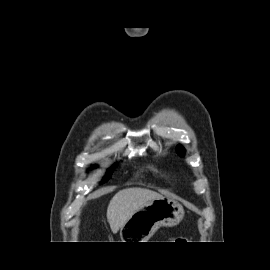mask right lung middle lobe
I'll list each match as a JSON object with an SVG mask.
<instances>
[{
    "label": "right lung middle lobe",
    "instance_id": "dd1d6c3e",
    "mask_svg": "<svg viewBox=\"0 0 270 270\" xmlns=\"http://www.w3.org/2000/svg\"><path fill=\"white\" fill-rule=\"evenodd\" d=\"M113 169H114L113 167L109 169L107 175L104 177L102 182L107 181L111 177Z\"/></svg>",
    "mask_w": 270,
    "mask_h": 270
}]
</instances>
